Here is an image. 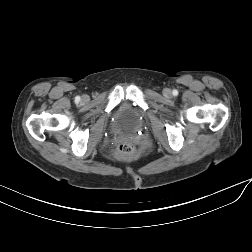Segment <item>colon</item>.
<instances>
[{
    "label": "colon",
    "mask_w": 252,
    "mask_h": 252,
    "mask_svg": "<svg viewBox=\"0 0 252 252\" xmlns=\"http://www.w3.org/2000/svg\"><path fill=\"white\" fill-rule=\"evenodd\" d=\"M116 154L120 158L132 159L137 154L136 145L128 140L122 141L117 145Z\"/></svg>",
    "instance_id": "colon-1"
}]
</instances>
